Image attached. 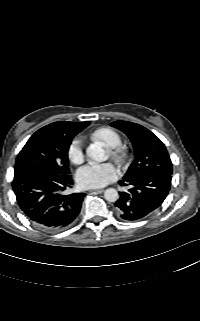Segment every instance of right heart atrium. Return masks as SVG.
<instances>
[{
  "mask_svg": "<svg viewBox=\"0 0 200 321\" xmlns=\"http://www.w3.org/2000/svg\"><path fill=\"white\" fill-rule=\"evenodd\" d=\"M68 157L74 164H81L84 160L83 142L79 138H74L68 146Z\"/></svg>",
  "mask_w": 200,
  "mask_h": 321,
  "instance_id": "d8ad5b80",
  "label": "right heart atrium"
}]
</instances>
